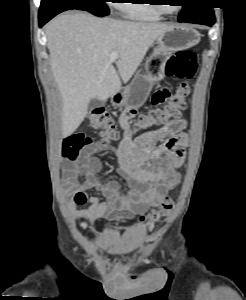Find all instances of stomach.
<instances>
[{
	"mask_svg": "<svg viewBox=\"0 0 246 300\" xmlns=\"http://www.w3.org/2000/svg\"><path fill=\"white\" fill-rule=\"evenodd\" d=\"M200 33L190 26H173L156 40L153 53L146 63V74L137 75L126 87L111 96V103L120 107H141L147 100L154 82L163 78L165 60L173 53L200 42Z\"/></svg>",
	"mask_w": 246,
	"mask_h": 300,
	"instance_id": "0dacf381",
	"label": "stomach"
}]
</instances>
